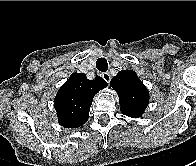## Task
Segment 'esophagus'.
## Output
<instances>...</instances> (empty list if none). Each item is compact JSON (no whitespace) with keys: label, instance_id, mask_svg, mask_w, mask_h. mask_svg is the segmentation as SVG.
Segmentation results:
<instances>
[{"label":"esophagus","instance_id":"34e87169","mask_svg":"<svg viewBox=\"0 0 196 166\" xmlns=\"http://www.w3.org/2000/svg\"><path fill=\"white\" fill-rule=\"evenodd\" d=\"M102 78L109 84L111 80V76L108 72L102 73Z\"/></svg>","mask_w":196,"mask_h":166}]
</instances>
